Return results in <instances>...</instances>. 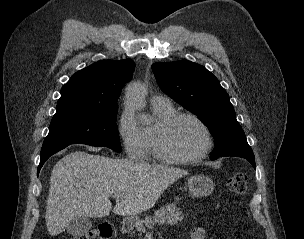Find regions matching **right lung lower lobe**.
<instances>
[{"mask_svg": "<svg viewBox=\"0 0 304 239\" xmlns=\"http://www.w3.org/2000/svg\"><path fill=\"white\" fill-rule=\"evenodd\" d=\"M68 145H63V146H54V147H46V148H42L41 149V157H40V164L38 166V173L41 169V167L43 166V164L45 163V161L54 153L64 149L65 147H67Z\"/></svg>", "mask_w": 304, "mask_h": 239, "instance_id": "right-lung-lower-lobe-1", "label": "right lung lower lobe"}]
</instances>
